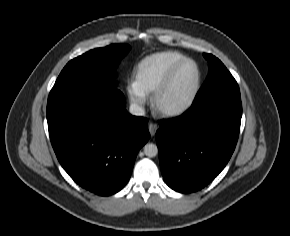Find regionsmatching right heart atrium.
I'll use <instances>...</instances> for the list:
<instances>
[{"label":"right heart atrium","instance_id":"1","mask_svg":"<svg viewBox=\"0 0 290 236\" xmlns=\"http://www.w3.org/2000/svg\"><path fill=\"white\" fill-rule=\"evenodd\" d=\"M127 93L130 101L138 108H142L147 101V93L144 92L135 81H131L127 85Z\"/></svg>","mask_w":290,"mask_h":236}]
</instances>
